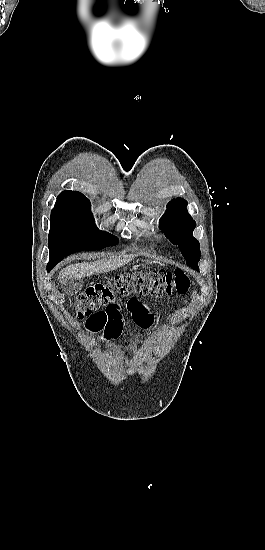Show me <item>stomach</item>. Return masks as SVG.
I'll use <instances>...</instances> for the list:
<instances>
[{
  "label": "stomach",
  "mask_w": 265,
  "mask_h": 550,
  "mask_svg": "<svg viewBox=\"0 0 265 550\" xmlns=\"http://www.w3.org/2000/svg\"><path fill=\"white\" fill-rule=\"evenodd\" d=\"M153 264H154V261L152 260L142 261V263L139 264V267L150 268L151 266H153Z\"/></svg>",
  "instance_id": "stomach-1"
}]
</instances>
